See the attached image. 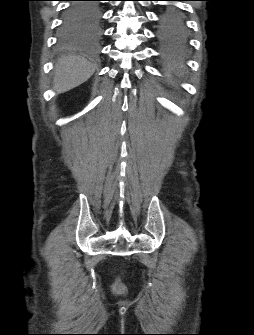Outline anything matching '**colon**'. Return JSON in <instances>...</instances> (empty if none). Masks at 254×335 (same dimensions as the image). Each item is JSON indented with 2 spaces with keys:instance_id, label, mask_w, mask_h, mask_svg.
<instances>
[{
  "instance_id": "obj_1",
  "label": "colon",
  "mask_w": 254,
  "mask_h": 335,
  "mask_svg": "<svg viewBox=\"0 0 254 335\" xmlns=\"http://www.w3.org/2000/svg\"><path fill=\"white\" fill-rule=\"evenodd\" d=\"M112 288L118 294L123 293V291H124V286H123V284H122V282L119 278L115 279V281L112 285Z\"/></svg>"
}]
</instances>
